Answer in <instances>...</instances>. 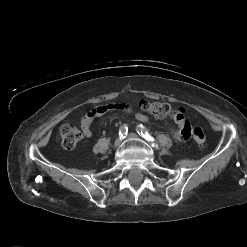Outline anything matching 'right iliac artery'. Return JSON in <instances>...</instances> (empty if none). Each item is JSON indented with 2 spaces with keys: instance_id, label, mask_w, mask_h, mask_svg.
I'll use <instances>...</instances> for the list:
<instances>
[{
  "instance_id": "1",
  "label": "right iliac artery",
  "mask_w": 247,
  "mask_h": 247,
  "mask_svg": "<svg viewBox=\"0 0 247 247\" xmlns=\"http://www.w3.org/2000/svg\"><path fill=\"white\" fill-rule=\"evenodd\" d=\"M128 132V127L124 124L119 128V136L120 138H125Z\"/></svg>"
}]
</instances>
